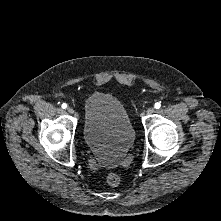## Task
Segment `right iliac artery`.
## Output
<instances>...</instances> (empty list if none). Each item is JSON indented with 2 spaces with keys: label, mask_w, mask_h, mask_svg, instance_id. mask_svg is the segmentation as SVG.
<instances>
[{
  "label": "right iliac artery",
  "mask_w": 221,
  "mask_h": 221,
  "mask_svg": "<svg viewBox=\"0 0 221 221\" xmlns=\"http://www.w3.org/2000/svg\"><path fill=\"white\" fill-rule=\"evenodd\" d=\"M62 108H63V109L67 108V104L63 103V104H62Z\"/></svg>",
  "instance_id": "right-iliac-artery-1"
}]
</instances>
